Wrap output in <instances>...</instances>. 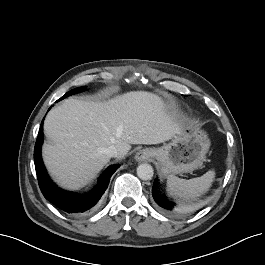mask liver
<instances>
[{
  "label": "liver",
  "instance_id": "liver-1",
  "mask_svg": "<svg viewBox=\"0 0 265 265\" xmlns=\"http://www.w3.org/2000/svg\"><path fill=\"white\" fill-rule=\"evenodd\" d=\"M182 127L150 92H128L104 102L71 98L46 116L44 133L51 144H44L43 160L59 185L78 189L109 161L107 147L114 145L121 158L131 144H160Z\"/></svg>",
  "mask_w": 265,
  "mask_h": 265
}]
</instances>
